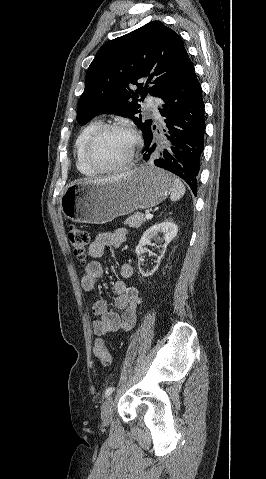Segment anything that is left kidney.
<instances>
[{
  "mask_svg": "<svg viewBox=\"0 0 266 479\" xmlns=\"http://www.w3.org/2000/svg\"><path fill=\"white\" fill-rule=\"evenodd\" d=\"M178 228L177 225L173 222H162L160 224H156L148 228L143 236L141 237L138 246L136 247V254L138 256L145 253V245H147L150 240L157 236L158 234H163V238L165 240V244L162 246V253L161 256L158 257L157 265L151 271H144L139 264V272L144 277L152 276L155 271L158 269V266L161 261V257L164 255L167 245L177 236Z\"/></svg>",
  "mask_w": 266,
  "mask_h": 479,
  "instance_id": "5707ae66",
  "label": "left kidney"
}]
</instances>
